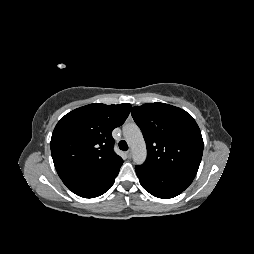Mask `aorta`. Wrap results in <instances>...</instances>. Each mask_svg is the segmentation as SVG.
Listing matches in <instances>:
<instances>
[{"instance_id": "aorta-1", "label": "aorta", "mask_w": 254, "mask_h": 254, "mask_svg": "<svg viewBox=\"0 0 254 254\" xmlns=\"http://www.w3.org/2000/svg\"><path fill=\"white\" fill-rule=\"evenodd\" d=\"M123 134L131 147L133 161L138 165L143 164L147 157V149L141 130L135 123H129L124 125Z\"/></svg>"}]
</instances>
